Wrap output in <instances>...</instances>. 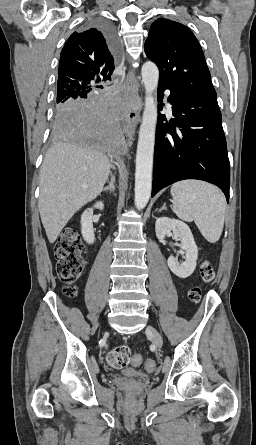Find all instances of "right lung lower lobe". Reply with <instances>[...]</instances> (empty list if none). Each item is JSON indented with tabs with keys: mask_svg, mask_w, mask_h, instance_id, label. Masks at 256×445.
Listing matches in <instances>:
<instances>
[{
	"mask_svg": "<svg viewBox=\"0 0 256 445\" xmlns=\"http://www.w3.org/2000/svg\"><path fill=\"white\" fill-rule=\"evenodd\" d=\"M113 50L118 53L116 35L105 22H96ZM72 103L55 114V131L64 138L88 145L114 158L126 152L124 138L117 122V100L96 95L73 97Z\"/></svg>",
	"mask_w": 256,
	"mask_h": 445,
	"instance_id": "right-lung-lower-lobe-1",
	"label": "right lung lower lobe"
}]
</instances>
